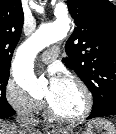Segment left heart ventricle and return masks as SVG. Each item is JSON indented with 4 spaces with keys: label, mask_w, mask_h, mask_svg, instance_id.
Returning <instances> with one entry per match:
<instances>
[{
    "label": "left heart ventricle",
    "mask_w": 116,
    "mask_h": 134,
    "mask_svg": "<svg viewBox=\"0 0 116 134\" xmlns=\"http://www.w3.org/2000/svg\"><path fill=\"white\" fill-rule=\"evenodd\" d=\"M48 97V89L45 91ZM51 106L60 114L65 116H75L84 107V99L80 90L71 83L63 81L59 93L51 100Z\"/></svg>",
    "instance_id": "obj_1"
}]
</instances>
